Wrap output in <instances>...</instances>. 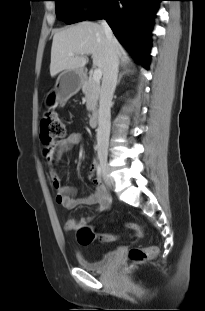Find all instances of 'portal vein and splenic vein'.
<instances>
[{
  "label": "portal vein and splenic vein",
  "instance_id": "obj_1",
  "mask_svg": "<svg viewBox=\"0 0 205 311\" xmlns=\"http://www.w3.org/2000/svg\"><path fill=\"white\" fill-rule=\"evenodd\" d=\"M73 55H74L73 53H70V54H69V56H73ZM101 77H102V71H101V69H95V70H94V73H93V77H92L93 81L99 82L100 79H101Z\"/></svg>",
  "mask_w": 205,
  "mask_h": 311
}]
</instances>
